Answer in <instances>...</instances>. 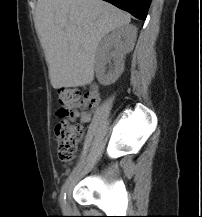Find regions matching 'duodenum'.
Instances as JSON below:
<instances>
[{"label":"duodenum","mask_w":202,"mask_h":217,"mask_svg":"<svg viewBox=\"0 0 202 217\" xmlns=\"http://www.w3.org/2000/svg\"><path fill=\"white\" fill-rule=\"evenodd\" d=\"M92 91H93V92H96V91H97L96 87H93Z\"/></svg>","instance_id":"1"}]
</instances>
